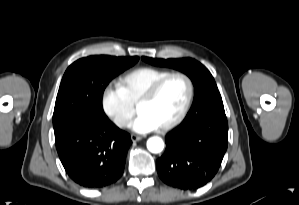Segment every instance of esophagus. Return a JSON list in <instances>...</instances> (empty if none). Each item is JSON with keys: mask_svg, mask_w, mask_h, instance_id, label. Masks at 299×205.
<instances>
[{"mask_svg": "<svg viewBox=\"0 0 299 205\" xmlns=\"http://www.w3.org/2000/svg\"><path fill=\"white\" fill-rule=\"evenodd\" d=\"M130 138L133 142L140 141L142 139L141 136L136 135V134H131Z\"/></svg>", "mask_w": 299, "mask_h": 205, "instance_id": "esophagus-1", "label": "esophagus"}]
</instances>
